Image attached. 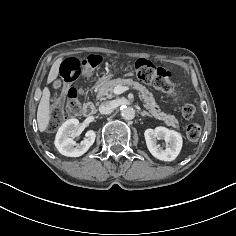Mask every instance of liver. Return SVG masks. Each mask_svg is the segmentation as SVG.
Listing matches in <instances>:
<instances>
[{
    "label": "liver",
    "mask_w": 236,
    "mask_h": 236,
    "mask_svg": "<svg viewBox=\"0 0 236 236\" xmlns=\"http://www.w3.org/2000/svg\"><path fill=\"white\" fill-rule=\"evenodd\" d=\"M63 61V58L57 59L49 72L47 83H51L54 81L58 74H59V66L61 62ZM50 91L48 87H45L42 92V97L39 102L38 110H37V122H38V128L40 132H43L46 130V128L49 125L50 122Z\"/></svg>",
    "instance_id": "liver-1"
}]
</instances>
